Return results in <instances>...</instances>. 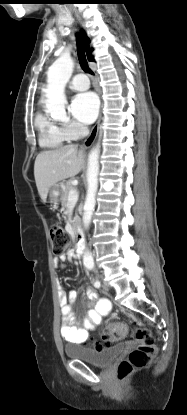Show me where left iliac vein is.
<instances>
[{
    "mask_svg": "<svg viewBox=\"0 0 187 415\" xmlns=\"http://www.w3.org/2000/svg\"><path fill=\"white\" fill-rule=\"evenodd\" d=\"M102 288H103L104 290H109V285H108V284H106V283H103V284H102Z\"/></svg>",
    "mask_w": 187,
    "mask_h": 415,
    "instance_id": "1",
    "label": "left iliac vein"
}]
</instances>
